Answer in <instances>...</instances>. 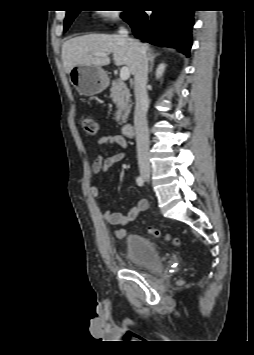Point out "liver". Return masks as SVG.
I'll return each instance as SVG.
<instances>
[{
    "label": "liver",
    "instance_id": "liver-1",
    "mask_svg": "<svg viewBox=\"0 0 254 355\" xmlns=\"http://www.w3.org/2000/svg\"><path fill=\"white\" fill-rule=\"evenodd\" d=\"M134 44H138L151 51L149 45L142 44L134 39H126L120 35L113 34H90L72 38L62 46V61L64 71L69 73L74 67L82 64L104 66L110 64L106 56H94L95 52L113 53L116 66L126 65L129 71L134 74L136 50Z\"/></svg>",
    "mask_w": 254,
    "mask_h": 355
}]
</instances>
